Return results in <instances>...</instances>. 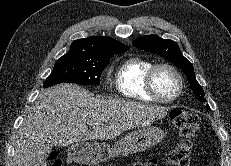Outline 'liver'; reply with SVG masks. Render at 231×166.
<instances>
[{"mask_svg":"<svg viewBox=\"0 0 231 166\" xmlns=\"http://www.w3.org/2000/svg\"><path fill=\"white\" fill-rule=\"evenodd\" d=\"M167 111L133 101L95 98L74 84L45 89L19 129L14 145L16 166H44L54 145L113 139L164 118Z\"/></svg>","mask_w":231,"mask_h":166,"instance_id":"6515ba94","label":"liver"}]
</instances>
